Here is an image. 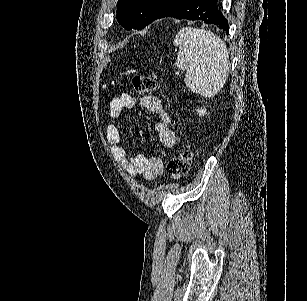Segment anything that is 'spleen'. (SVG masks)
<instances>
[{"instance_id":"1","label":"spleen","mask_w":307,"mask_h":301,"mask_svg":"<svg viewBox=\"0 0 307 301\" xmlns=\"http://www.w3.org/2000/svg\"><path fill=\"white\" fill-rule=\"evenodd\" d=\"M173 44L179 48L174 64L185 70L186 86L205 98L215 96L230 72L229 52L222 38L212 30L183 26Z\"/></svg>"}]
</instances>
